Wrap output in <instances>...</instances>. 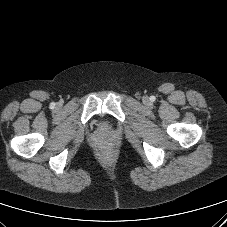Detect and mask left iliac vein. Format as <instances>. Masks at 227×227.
Returning a JSON list of instances; mask_svg holds the SVG:
<instances>
[{
	"label": "left iliac vein",
	"mask_w": 227,
	"mask_h": 227,
	"mask_svg": "<svg viewBox=\"0 0 227 227\" xmlns=\"http://www.w3.org/2000/svg\"><path fill=\"white\" fill-rule=\"evenodd\" d=\"M145 102L148 103L149 102V99L148 98H145Z\"/></svg>",
	"instance_id": "1"
}]
</instances>
